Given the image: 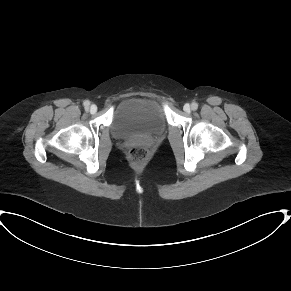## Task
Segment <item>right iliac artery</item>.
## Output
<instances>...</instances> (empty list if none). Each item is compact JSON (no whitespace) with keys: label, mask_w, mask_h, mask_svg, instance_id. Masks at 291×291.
Returning <instances> with one entry per match:
<instances>
[{"label":"right iliac artery","mask_w":291,"mask_h":291,"mask_svg":"<svg viewBox=\"0 0 291 291\" xmlns=\"http://www.w3.org/2000/svg\"><path fill=\"white\" fill-rule=\"evenodd\" d=\"M83 104H84V107L87 109L89 107V105H90V102L89 101H85Z\"/></svg>","instance_id":"1"}]
</instances>
